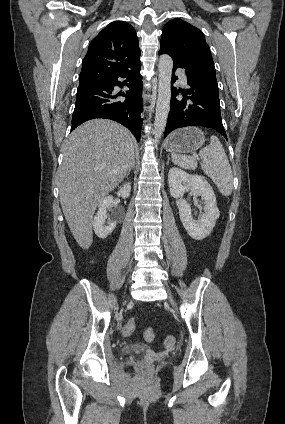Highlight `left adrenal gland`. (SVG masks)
Listing matches in <instances>:
<instances>
[{"instance_id": "obj_1", "label": "left adrenal gland", "mask_w": 285, "mask_h": 424, "mask_svg": "<svg viewBox=\"0 0 285 424\" xmlns=\"http://www.w3.org/2000/svg\"><path fill=\"white\" fill-rule=\"evenodd\" d=\"M169 161H170V157L168 156V160H167V163H166L167 165H169Z\"/></svg>"}]
</instances>
